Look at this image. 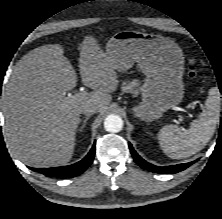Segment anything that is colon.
I'll list each match as a JSON object with an SVG mask.
<instances>
[{
    "label": "colon",
    "instance_id": "colon-1",
    "mask_svg": "<svg viewBox=\"0 0 222 219\" xmlns=\"http://www.w3.org/2000/svg\"><path fill=\"white\" fill-rule=\"evenodd\" d=\"M188 76L192 79L197 76V69L194 66V61L193 60L190 62V66L188 68Z\"/></svg>",
    "mask_w": 222,
    "mask_h": 219
}]
</instances>
